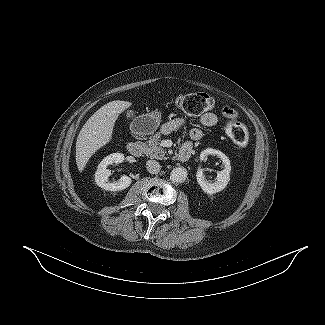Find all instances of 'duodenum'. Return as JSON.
<instances>
[{"label":"duodenum","mask_w":325,"mask_h":325,"mask_svg":"<svg viewBox=\"0 0 325 325\" xmlns=\"http://www.w3.org/2000/svg\"><path fill=\"white\" fill-rule=\"evenodd\" d=\"M128 152L132 156H140L143 153V143L141 140L131 142L127 146ZM192 154V146L185 144L181 147L179 152L176 155V159L180 162L187 161Z\"/></svg>","instance_id":"410a0bca"}]
</instances>
